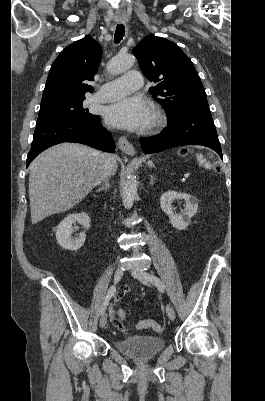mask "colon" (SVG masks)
Returning <instances> with one entry per match:
<instances>
[{"mask_svg": "<svg viewBox=\"0 0 265 401\" xmlns=\"http://www.w3.org/2000/svg\"><path fill=\"white\" fill-rule=\"evenodd\" d=\"M182 155H184L186 153V150H181L180 152ZM214 169L216 171H218V166H215ZM126 317V312L123 309H118L116 311H112L111 313V320L114 323V325H116L121 331H125L124 327L122 326V324L120 323L119 319H123ZM137 328L139 329H153L156 332H160L162 331V327L161 325L154 321V320H150V319H144V320H140L137 324H136Z\"/></svg>", "mask_w": 265, "mask_h": 401, "instance_id": "obj_1", "label": "colon"}]
</instances>
